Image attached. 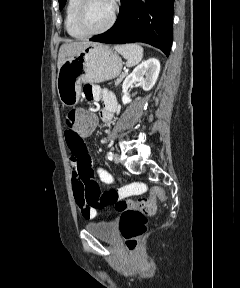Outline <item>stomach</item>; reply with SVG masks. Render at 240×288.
<instances>
[{
	"mask_svg": "<svg viewBox=\"0 0 240 288\" xmlns=\"http://www.w3.org/2000/svg\"><path fill=\"white\" fill-rule=\"evenodd\" d=\"M122 60L109 46L91 43L60 67L56 80L58 96L64 106H74L81 95L82 83H100L117 77Z\"/></svg>",
	"mask_w": 240,
	"mask_h": 288,
	"instance_id": "0dacf381",
	"label": "stomach"
}]
</instances>
